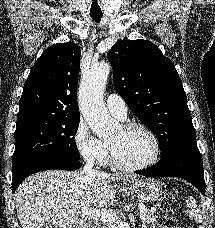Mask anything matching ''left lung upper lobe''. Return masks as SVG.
Instances as JSON below:
<instances>
[{
	"instance_id": "left-lung-upper-lobe-1",
	"label": "left lung upper lobe",
	"mask_w": 215,
	"mask_h": 228,
	"mask_svg": "<svg viewBox=\"0 0 215 228\" xmlns=\"http://www.w3.org/2000/svg\"><path fill=\"white\" fill-rule=\"evenodd\" d=\"M114 88L157 137L161 158L196 141L187 98L172 61L152 42L118 41L108 51Z\"/></svg>"
}]
</instances>
